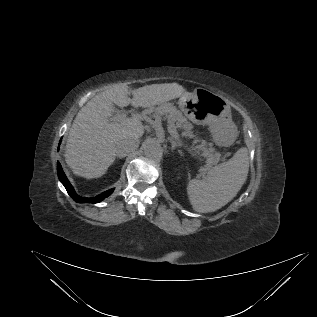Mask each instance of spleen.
<instances>
[{"instance_id":"1","label":"spleen","mask_w":317,"mask_h":317,"mask_svg":"<svg viewBox=\"0 0 317 317\" xmlns=\"http://www.w3.org/2000/svg\"><path fill=\"white\" fill-rule=\"evenodd\" d=\"M248 171V150L243 147L227 162L210 169L206 179L190 180L187 194L193 209L198 213H208L225 206L241 189Z\"/></svg>"}]
</instances>
